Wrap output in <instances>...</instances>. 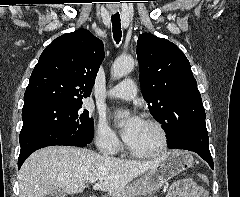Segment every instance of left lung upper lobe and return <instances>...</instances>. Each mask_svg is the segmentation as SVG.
Here are the masks:
<instances>
[{
	"label": "left lung upper lobe",
	"instance_id": "5c2ea615",
	"mask_svg": "<svg viewBox=\"0 0 240 197\" xmlns=\"http://www.w3.org/2000/svg\"><path fill=\"white\" fill-rule=\"evenodd\" d=\"M136 53L144 99L167 134L172 117L202 103L191 66L174 43L150 33L139 36Z\"/></svg>",
	"mask_w": 240,
	"mask_h": 197
}]
</instances>
